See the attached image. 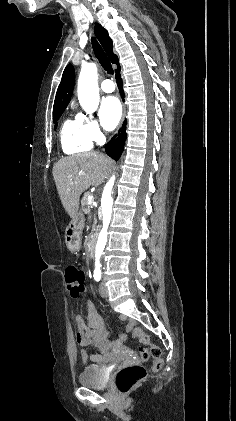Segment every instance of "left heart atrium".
Wrapping results in <instances>:
<instances>
[{
    "mask_svg": "<svg viewBox=\"0 0 236 421\" xmlns=\"http://www.w3.org/2000/svg\"><path fill=\"white\" fill-rule=\"evenodd\" d=\"M100 115L103 127L106 130H113L122 116V108L118 98L115 96L105 97L101 102Z\"/></svg>",
    "mask_w": 236,
    "mask_h": 421,
    "instance_id": "obj_1",
    "label": "left heart atrium"
}]
</instances>
